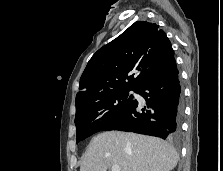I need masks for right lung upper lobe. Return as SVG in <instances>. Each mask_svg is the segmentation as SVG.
<instances>
[{"label": "right lung upper lobe", "mask_w": 223, "mask_h": 171, "mask_svg": "<svg viewBox=\"0 0 223 171\" xmlns=\"http://www.w3.org/2000/svg\"><path fill=\"white\" fill-rule=\"evenodd\" d=\"M173 60L165 32L155 23L135 22L89 60L80 78L76 109L115 92L136 91Z\"/></svg>", "instance_id": "1"}]
</instances>
